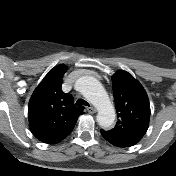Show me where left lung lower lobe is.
<instances>
[{"label":"left lung lower lobe","instance_id":"obj_1","mask_svg":"<svg viewBox=\"0 0 176 176\" xmlns=\"http://www.w3.org/2000/svg\"><path fill=\"white\" fill-rule=\"evenodd\" d=\"M101 135H102L108 142H110L111 144H113L114 146H117V147H128V145H126V144L123 143L122 141L117 140V139H114V138L108 136V135L105 134L103 131H101Z\"/></svg>","mask_w":176,"mask_h":176}]
</instances>
